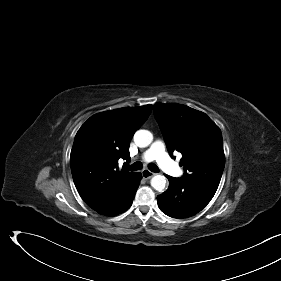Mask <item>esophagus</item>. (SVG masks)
<instances>
[{
	"instance_id": "1",
	"label": "esophagus",
	"mask_w": 281,
	"mask_h": 281,
	"mask_svg": "<svg viewBox=\"0 0 281 281\" xmlns=\"http://www.w3.org/2000/svg\"><path fill=\"white\" fill-rule=\"evenodd\" d=\"M155 175V173L151 172L150 170L148 169H144L142 171V176L144 179H150L151 177H153Z\"/></svg>"
}]
</instances>
